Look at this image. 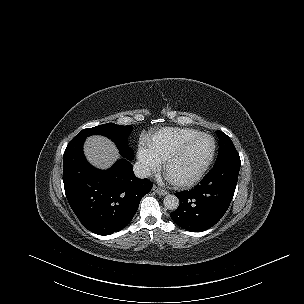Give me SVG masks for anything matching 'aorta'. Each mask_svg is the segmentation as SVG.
Listing matches in <instances>:
<instances>
[{
    "instance_id": "762f6f07",
    "label": "aorta",
    "mask_w": 304,
    "mask_h": 304,
    "mask_svg": "<svg viewBox=\"0 0 304 304\" xmlns=\"http://www.w3.org/2000/svg\"><path fill=\"white\" fill-rule=\"evenodd\" d=\"M179 199L175 195L168 194L164 197L163 204L168 210H176L179 207Z\"/></svg>"
}]
</instances>
